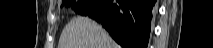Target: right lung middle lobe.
<instances>
[{
	"mask_svg": "<svg viewBox=\"0 0 213 48\" xmlns=\"http://www.w3.org/2000/svg\"><path fill=\"white\" fill-rule=\"evenodd\" d=\"M95 1L96 0H65L63 1V5L72 7L76 13L85 15Z\"/></svg>",
	"mask_w": 213,
	"mask_h": 48,
	"instance_id": "1",
	"label": "right lung middle lobe"
}]
</instances>
